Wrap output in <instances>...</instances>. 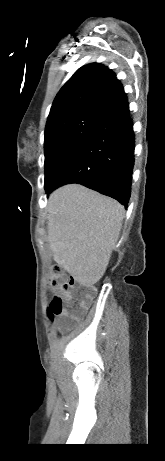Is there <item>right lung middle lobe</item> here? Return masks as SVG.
I'll use <instances>...</instances> for the list:
<instances>
[{
  "label": "right lung middle lobe",
  "instance_id": "obj_1",
  "mask_svg": "<svg viewBox=\"0 0 165 461\" xmlns=\"http://www.w3.org/2000/svg\"><path fill=\"white\" fill-rule=\"evenodd\" d=\"M104 120L93 115L53 120L45 128V186Z\"/></svg>",
  "mask_w": 165,
  "mask_h": 461
}]
</instances>
